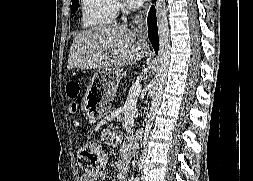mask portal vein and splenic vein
<instances>
[{"mask_svg": "<svg viewBox=\"0 0 253 181\" xmlns=\"http://www.w3.org/2000/svg\"><path fill=\"white\" fill-rule=\"evenodd\" d=\"M140 90H141V85L139 81L135 82L130 89L131 92H139Z\"/></svg>", "mask_w": 253, "mask_h": 181, "instance_id": "obj_1", "label": "portal vein and splenic vein"}]
</instances>
